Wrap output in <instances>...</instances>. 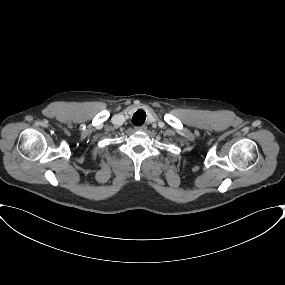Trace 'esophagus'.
<instances>
[{
	"mask_svg": "<svg viewBox=\"0 0 285 285\" xmlns=\"http://www.w3.org/2000/svg\"><path fill=\"white\" fill-rule=\"evenodd\" d=\"M146 129H147V127L145 125L135 127L136 131H146Z\"/></svg>",
	"mask_w": 285,
	"mask_h": 285,
	"instance_id": "1",
	"label": "esophagus"
}]
</instances>
